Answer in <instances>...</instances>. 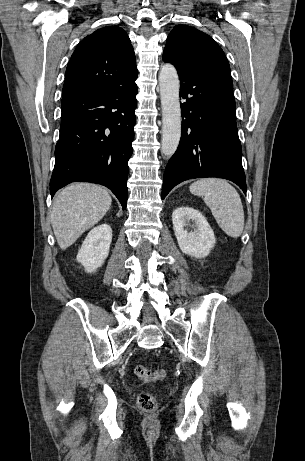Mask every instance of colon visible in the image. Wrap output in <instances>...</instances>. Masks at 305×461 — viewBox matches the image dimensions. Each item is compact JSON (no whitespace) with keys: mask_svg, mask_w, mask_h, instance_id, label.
Here are the masks:
<instances>
[{"mask_svg":"<svg viewBox=\"0 0 305 461\" xmlns=\"http://www.w3.org/2000/svg\"><path fill=\"white\" fill-rule=\"evenodd\" d=\"M134 371L138 378L145 381H156L162 379L166 375V372L163 369L152 371L142 365L136 366ZM137 406L142 411L153 412L157 408V401L151 393L142 392L137 397Z\"/></svg>","mask_w":305,"mask_h":461,"instance_id":"obj_1","label":"colon"}]
</instances>
